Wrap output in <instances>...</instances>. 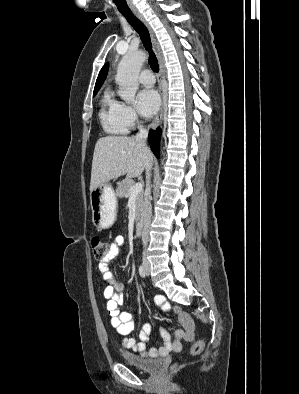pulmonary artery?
Returning a JSON list of instances; mask_svg holds the SVG:
<instances>
[{
	"label": "pulmonary artery",
	"mask_w": 299,
	"mask_h": 394,
	"mask_svg": "<svg viewBox=\"0 0 299 394\" xmlns=\"http://www.w3.org/2000/svg\"><path fill=\"white\" fill-rule=\"evenodd\" d=\"M139 81L141 84H143L144 86L150 87L154 84L155 82V77L153 75V73L148 70L145 69L143 70L140 75H139Z\"/></svg>",
	"instance_id": "obj_1"
}]
</instances>
